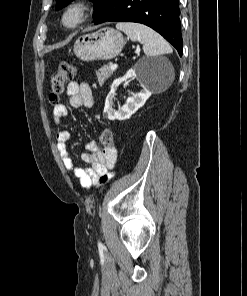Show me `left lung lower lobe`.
<instances>
[{
  "label": "left lung lower lobe",
  "mask_w": 247,
  "mask_h": 296,
  "mask_svg": "<svg viewBox=\"0 0 247 296\" xmlns=\"http://www.w3.org/2000/svg\"><path fill=\"white\" fill-rule=\"evenodd\" d=\"M107 21L145 24L160 33L182 56L179 0H112L95 18V24Z\"/></svg>",
  "instance_id": "0a47b994"
}]
</instances>
